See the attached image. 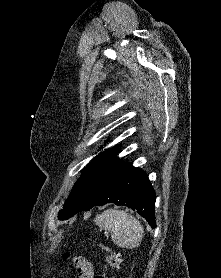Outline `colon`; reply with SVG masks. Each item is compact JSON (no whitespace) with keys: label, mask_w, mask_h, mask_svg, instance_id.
<instances>
[{"label":"colon","mask_w":221,"mask_h":278,"mask_svg":"<svg viewBox=\"0 0 221 278\" xmlns=\"http://www.w3.org/2000/svg\"><path fill=\"white\" fill-rule=\"evenodd\" d=\"M99 247L106 252L105 264L99 273H95L94 267L84 257L76 256L71 258L79 278H115L114 274H110L109 271L119 268L121 255L109 247L103 245H99ZM67 258H70V256L67 255Z\"/></svg>","instance_id":"5ec220e1"}]
</instances>
